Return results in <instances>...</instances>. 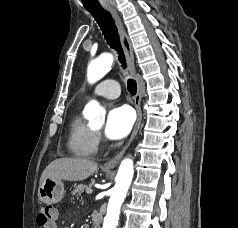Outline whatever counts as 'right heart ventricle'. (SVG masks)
Here are the masks:
<instances>
[{
    "mask_svg": "<svg viewBox=\"0 0 238 228\" xmlns=\"http://www.w3.org/2000/svg\"><path fill=\"white\" fill-rule=\"evenodd\" d=\"M68 149L77 157H93L98 149L95 131L75 111L69 121Z\"/></svg>",
    "mask_w": 238,
    "mask_h": 228,
    "instance_id": "right-heart-ventricle-1",
    "label": "right heart ventricle"
}]
</instances>
